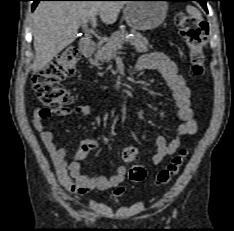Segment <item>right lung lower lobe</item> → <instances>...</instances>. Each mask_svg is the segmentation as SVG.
Wrapping results in <instances>:
<instances>
[{
  "label": "right lung lower lobe",
  "mask_w": 234,
  "mask_h": 231,
  "mask_svg": "<svg viewBox=\"0 0 234 231\" xmlns=\"http://www.w3.org/2000/svg\"><path fill=\"white\" fill-rule=\"evenodd\" d=\"M34 3L32 5V11H34V9L36 8L37 4L40 1H72V0H32ZM94 1H105V0H94Z\"/></svg>",
  "instance_id": "right-lung-lower-lobe-1"
}]
</instances>
